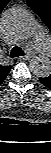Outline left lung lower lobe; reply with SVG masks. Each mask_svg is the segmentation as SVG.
<instances>
[{
	"label": "left lung lower lobe",
	"instance_id": "1",
	"mask_svg": "<svg viewBox=\"0 0 51 153\" xmlns=\"http://www.w3.org/2000/svg\"><path fill=\"white\" fill-rule=\"evenodd\" d=\"M39 79L44 86L51 88V75L48 77L39 78Z\"/></svg>",
	"mask_w": 51,
	"mask_h": 153
}]
</instances>
